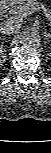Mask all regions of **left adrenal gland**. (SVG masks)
Listing matches in <instances>:
<instances>
[{
	"instance_id": "left-adrenal-gland-1",
	"label": "left adrenal gland",
	"mask_w": 51,
	"mask_h": 153,
	"mask_svg": "<svg viewBox=\"0 0 51 153\" xmlns=\"http://www.w3.org/2000/svg\"><path fill=\"white\" fill-rule=\"evenodd\" d=\"M45 37H46V40H49V39H50L49 33H46V34H45Z\"/></svg>"
}]
</instances>
